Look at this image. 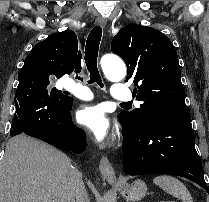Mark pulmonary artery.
Here are the masks:
<instances>
[{"mask_svg": "<svg viewBox=\"0 0 209 202\" xmlns=\"http://www.w3.org/2000/svg\"><path fill=\"white\" fill-rule=\"evenodd\" d=\"M63 85L67 88L75 97L81 100L89 101L93 99L91 90L83 85L75 84L72 79H64ZM132 98L131 91L128 88L120 86L119 82L113 83L112 99L121 102L130 101ZM136 106H139V101H134Z\"/></svg>", "mask_w": 209, "mask_h": 202, "instance_id": "1", "label": "pulmonary artery"}]
</instances>
